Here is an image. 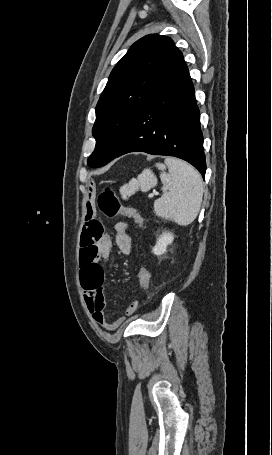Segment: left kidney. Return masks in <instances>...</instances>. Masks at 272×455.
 <instances>
[{
	"label": "left kidney",
	"mask_w": 272,
	"mask_h": 455,
	"mask_svg": "<svg viewBox=\"0 0 272 455\" xmlns=\"http://www.w3.org/2000/svg\"><path fill=\"white\" fill-rule=\"evenodd\" d=\"M174 240V235L170 232H163L162 235L157 239L156 245L153 247L152 252L155 255H162L166 252L167 246Z\"/></svg>",
	"instance_id": "5707ae66"
}]
</instances>
